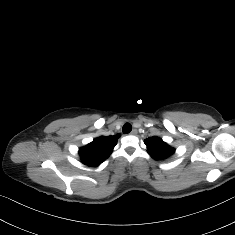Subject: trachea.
Listing matches in <instances>:
<instances>
[{
	"label": "trachea",
	"mask_w": 235,
	"mask_h": 235,
	"mask_svg": "<svg viewBox=\"0 0 235 235\" xmlns=\"http://www.w3.org/2000/svg\"><path fill=\"white\" fill-rule=\"evenodd\" d=\"M131 130H132V125L130 123H126L122 127V131L124 134L131 132Z\"/></svg>",
	"instance_id": "1"
}]
</instances>
